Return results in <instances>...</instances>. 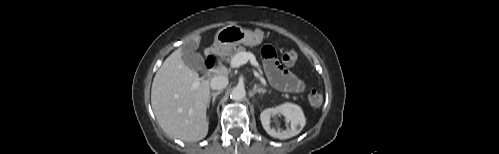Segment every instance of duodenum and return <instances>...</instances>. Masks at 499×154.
I'll return each mask as SVG.
<instances>
[{
    "label": "duodenum",
    "mask_w": 499,
    "mask_h": 154,
    "mask_svg": "<svg viewBox=\"0 0 499 154\" xmlns=\"http://www.w3.org/2000/svg\"><path fill=\"white\" fill-rule=\"evenodd\" d=\"M216 51L214 49H210L208 52H207V62L209 61H212V62H215V59H216ZM214 64H208L207 63V68H211L213 67Z\"/></svg>",
    "instance_id": "410a0bca"
}]
</instances>
